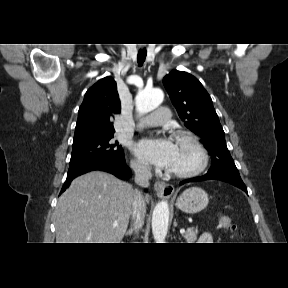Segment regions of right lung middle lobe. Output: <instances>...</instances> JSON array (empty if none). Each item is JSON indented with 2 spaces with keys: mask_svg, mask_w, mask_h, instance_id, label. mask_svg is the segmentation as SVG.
<instances>
[{
  "mask_svg": "<svg viewBox=\"0 0 288 288\" xmlns=\"http://www.w3.org/2000/svg\"><path fill=\"white\" fill-rule=\"evenodd\" d=\"M112 138L113 134H110L74 143L70 163L96 156H105L117 160L123 159V149L118 142L114 143L111 140Z\"/></svg>",
  "mask_w": 288,
  "mask_h": 288,
  "instance_id": "1",
  "label": "right lung middle lobe"
}]
</instances>
